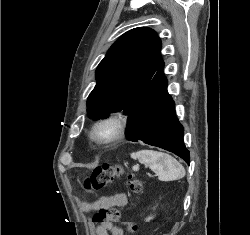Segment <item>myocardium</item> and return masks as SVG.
<instances>
[{"label":"myocardium","mask_w":250,"mask_h":235,"mask_svg":"<svg viewBox=\"0 0 250 235\" xmlns=\"http://www.w3.org/2000/svg\"><path fill=\"white\" fill-rule=\"evenodd\" d=\"M126 129V116L121 112H111L94 121L89 138L92 143L99 146L111 145L124 137Z\"/></svg>","instance_id":"obj_1"}]
</instances>
